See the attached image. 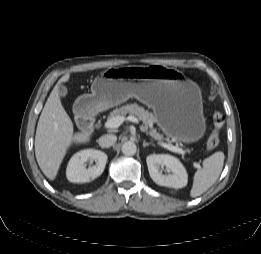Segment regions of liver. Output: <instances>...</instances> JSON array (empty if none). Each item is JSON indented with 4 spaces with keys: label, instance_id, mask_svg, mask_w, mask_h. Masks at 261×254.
I'll return each instance as SVG.
<instances>
[{
    "label": "liver",
    "instance_id": "obj_1",
    "mask_svg": "<svg viewBox=\"0 0 261 254\" xmlns=\"http://www.w3.org/2000/svg\"><path fill=\"white\" fill-rule=\"evenodd\" d=\"M70 74L63 75L51 91L39 117L35 135V156L44 175L54 180L67 150L73 144L87 143L88 133L73 131V123L62 106L58 87L69 81Z\"/></svg>",
    "mask_w": 261,
    "mask_h": 254
}]
</instances>
